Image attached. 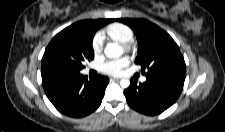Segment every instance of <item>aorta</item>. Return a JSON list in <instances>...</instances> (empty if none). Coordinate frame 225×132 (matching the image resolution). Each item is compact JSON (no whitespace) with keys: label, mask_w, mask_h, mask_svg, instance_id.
<instances>
[{"label":"aorta","mask_w":225,"mask_h":132,"mask_svg":"<svg viewBox=\"0 0 225 132\" xmlns=\"http://www.w3.org/2000/svg\"><path fill=\"white\" fill-rule=\"evenodd\" d=\"M104 53L108 58H118L123 54V48L118 43H108L104 49ZM120 86L128 88L130 86L129 79H121Z\"/></svg>","instance_id":"obj_1"}]
</instances>
